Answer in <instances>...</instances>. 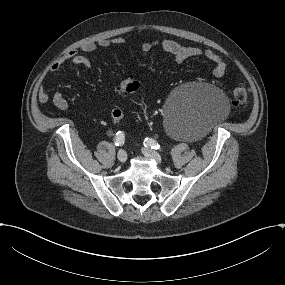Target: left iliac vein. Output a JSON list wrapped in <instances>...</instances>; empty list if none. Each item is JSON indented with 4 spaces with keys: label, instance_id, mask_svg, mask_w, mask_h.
Segmentation results:
<instances>
[{
    "label": "left iliac vein",
    "instance_id": "obj_1",
    "mask_svg": "<svg viewBox=\"0 0 285 285\" xmlns=\"http://www.w3.org/2000/svg\"><path fill=\"white\" fill-rule=\"evenodd\" d=\"M142 152L146 157H149V158H152L153 160H155L157 164H159V165L163 164L162 157L157 152L150 150L148 148H144L142 150Z\"/></svg>",
    "mask_w": 285,
    "mask_h": 285
}]
</instances>
